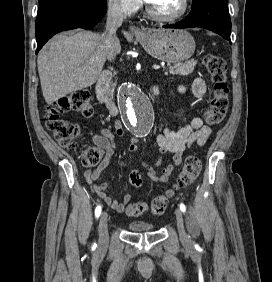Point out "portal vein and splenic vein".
<instances>
[{
    "label": "portal vein and splenic vein",
    "instance_id": "1",
    "mask_svg": "<svg viewBox=\"0 0 272 282\" xmlns=\"http://www.w3.org/2000/svg\"><path fill=\"white\" fill-rule=\"evenodd\" d=\"M152 67L157 70L161 68L159 65H153Z\"/></svg>",
    "mask_w": 272,
    "mask_h": 282
}]
</instances>
